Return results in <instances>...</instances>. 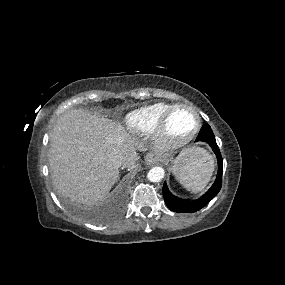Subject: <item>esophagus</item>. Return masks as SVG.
<instances>
[{
  "label": "esophagus",
  "mask_w": 285,
  "mask_h": 285,
  "mask_svg": "<svg viewBox=\"0 0 285 285\" xmlns=\"http://www.w3.org/2000/svg\"><path fill=\"white\" fill-rule=\"evenodd\" d=\"M156 160H157V159H156L155 155L152 154V153H148V154H146V156H145V163H146L147 165H150V164L155 163Z\"/></svg>",
  "instance_id": "esophagus-1"
}]
</instances>
